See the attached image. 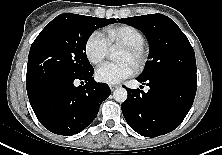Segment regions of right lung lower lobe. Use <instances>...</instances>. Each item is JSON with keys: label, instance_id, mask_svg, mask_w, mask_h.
Wrapping results in <instances>:
<instances>
[{"label": "right lung lower lobe", "instance_id": "right-lung-lower-lobe-1", "mask_svg": "<svg viewBox=\"0 0 222 155\" xmlns=\"http://www.w3.org/2000/svg\"><path fill=\"white\" fill-rule=\"evenodd\" d=\"M94 69L87 73L46 84L28 93L32 109L40 123L49 131L70 136L84 130L95 119L101 103L111 90L92 77ZM83 86H76L77 81Z\"/></svg>", "mask_w": 222, "mask_h": 155}]
</instances>
